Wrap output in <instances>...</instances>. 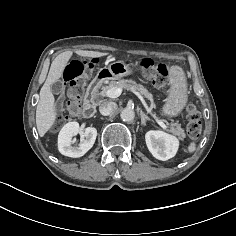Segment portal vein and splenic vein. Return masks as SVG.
Returning a JSON list of instances; mask_svg holds the SVG:
<instances>
[{
	"label": "portal vein and splenic vein",
	"mask_w": 236,
	"mask_h": 236,
	"mask_svg": "<svg viewBox=\"0 0 236 236\" xmlns=\"http://www.w3.org/2000/svg\"><path fill=\"white\" fill-rule=\"evenodd\" d=\"M139 98L140 100L142 101L143 105L145 106L146 110L148 113H150L151 115H153L151 113V110L150 108H148V106L146 105L145 101L143 100V98L140 96V94L134 90H132ZM122 93V89L120 88H111V89H108L106 92H105V96L109 97V98H117L121 95ZM153 117H155L153 115ZM158 124L163 128V129H166L167 126L160 120H157Z\"/></svg>",
	"instance_id": "obj_1"
}]
</instances>
